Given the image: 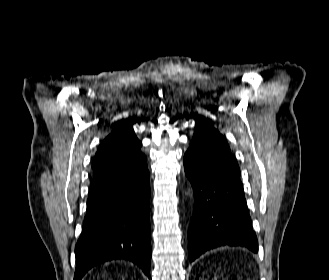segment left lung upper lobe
I'll list each match as a JSON object with an SVG mask.
<instances>
[{"mask_svg":"<svg viewBox=\"0 0 329 280\" xmlns=\"http://www.w3.org/2000/svg\"><path fill=\"white\" fill-rule=\"evenodd\" d=\"M220 158L235 160L225 138L204 120H196L195 132L184 160L198 173L219 177Z\"/></svg>","mask_w":329,"mask_h":280,"instance_id":"obj_1","label":"left lung upper lobe"}]
</instances>
